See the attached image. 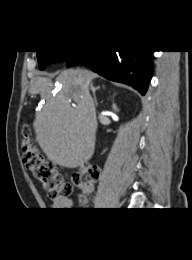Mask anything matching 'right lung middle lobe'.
I'll list each match as a JSON object with an SVG mask.
<instances>
[{
    "label": "right lung middle lobe",
    "instance_id": "1",
    "mask_svg": "<svg viewBox=\"0 0 192 260\" xmlns=\"http://www.w3.org/2000/svg\"><path fill=\"white\" fill-rule=\"evenodd\" d=\"M39 67L41 70L56 62L66 61L73 51H36Z\"/></svg>",
    "mask_w": 192,
    "mask_h": 260
}]
</instances>
